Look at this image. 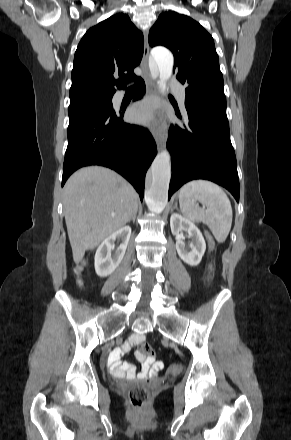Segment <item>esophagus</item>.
<instances>
[{
	"instance_id": "34e87169",
	"label": "esophagus",
	"mask_w": 291,
	"mask_h": 440,
	"mask_svg": "<svg viewBox=\"0 0 291 440\" xmlns=\"http://www.w3.org/2000/svg\"><path fill=\"white\" fill-rule=\"evenodd\" d=\"M149 51H150V48H149V44H148V34L145 33L144 54H143V60H144L143 78L146 83L148 94L155 95L156 94L155 83L151 77L149 67H148ZM153 136L156 141L157 148L159 150L162 149L164 146V134L159 127L158 121H155L153 124Z\"/></svg>"
}]
</instances>
